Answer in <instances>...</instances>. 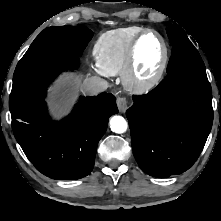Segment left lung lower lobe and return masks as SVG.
Here are the masks:
<instances>
[{"label":"left lung lower lobe","mask_w":221,"mask_h":221,"mask_svg":"<svg viewBox=\"0 0 221 221\" xmlns=\"http://www.w3.org/2000/svg\"><path fill=\"white\" fill-rule=\"evenodd\" d=\"M126 117L139 167L153 177L188 170L199 157L213 122L207 77H166L145 95H133Z\"/></svg>","instance_id":"obj_1"}]
</instances>
